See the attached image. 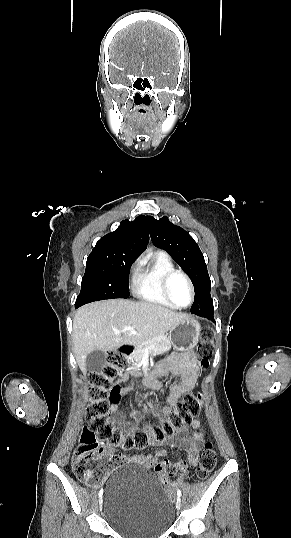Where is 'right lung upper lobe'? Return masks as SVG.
Instances as JSON below:
<instances>
[{"instance_id": "obj_1", "label": "right lung upper lobe", "mask_w": 291, "mask_h": 538, "mask_svg": "<svg viewBox=\"0 0 291 538\" xmlns=\"http://www.w3.org/2000/svg\"><path fill=\"white\" fill-rule=\"evenodd\" d=\"M149 242L147 220L144 215L134 221L124 220L114 231L102 237L90 254L126 255L138 257Z\"/></svg>"}]
</instances>
